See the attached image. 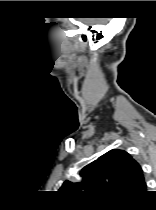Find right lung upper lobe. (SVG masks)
<instances>
[{"label":"right lung upper lobe","instance_id":"right-lung-upper-lobe-1","mask_svg":"<svg viewBox=\"0 0 156 210\" xmlns=\"http://www.w3.org/2000/svg\"><path fill=\"white\" fill-rule=\"evenodd\" d=\"M80 182L65 181L61 192L98 202H131L146 192V182L139 163L126 151L112 149L85 166Z\"/></svg>","mask_w":156,"mask_h":210}]
</instances>
